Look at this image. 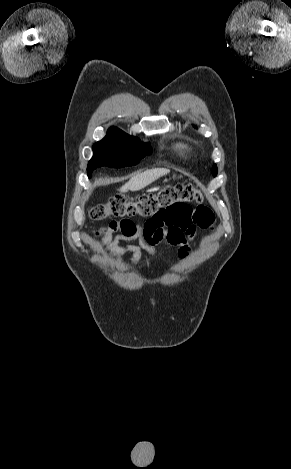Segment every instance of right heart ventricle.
<instances>
[{
  "label": "right heart ventricle",
  "mask_w": 291,
  "mask_h": 469,
  "mask_svg": "<svg viewBox=\"0 0 291 469\" xmlns=\"http://www.w3.org/2000/svg\"><path fill=\"white\" fill-rule=\"evenodd\" d=\"M175 148L181 154H186L189 151V145L185 142H177Z\"/></svg>",
  "instance_id": "e07e8e85"
}]
</instances>
